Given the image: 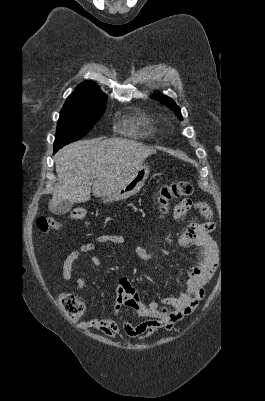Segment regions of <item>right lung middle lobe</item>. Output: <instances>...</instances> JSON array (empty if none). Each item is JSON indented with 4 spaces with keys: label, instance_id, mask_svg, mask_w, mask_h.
I'll return each instance as SVG.
<instances>
[{
    "label": "right lung middle lobe",
    "instance_id": "1",
    "mask_svg": "<svg viewBox=\"0 0 265 401\" xmlns=\"http://www.w3.org/2000/svg\"><path fill=\"white\" fill-rule=\"evenodd\" d=\"M106 100L63 106L57 123L54 152L92 129L106 109Z\"/></svg>",
    "mask_w": 265,
    "mask_h": 401
}]
</instances>
